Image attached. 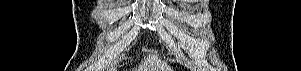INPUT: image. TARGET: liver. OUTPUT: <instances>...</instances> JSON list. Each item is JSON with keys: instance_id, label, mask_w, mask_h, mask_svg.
<instances>
[{"instance_id": "6515ba94", "label": "liver", "mask_w": 301, "mask_h": 71, "mask_svg": "<svg viewBox=\"0 0 301 71\" xmlns=\"http://www.w3.org/2000/svg\"><path fill=\"white\" fill-rule=\"evenodd\" d=\"M139 69H143V66H142V68H139ZM144 69H145V67H144ZM147 69V68H146Z\"/></svg>"}]
</instances>
